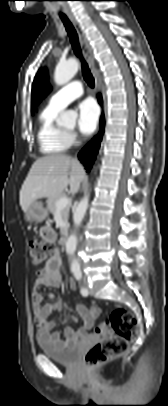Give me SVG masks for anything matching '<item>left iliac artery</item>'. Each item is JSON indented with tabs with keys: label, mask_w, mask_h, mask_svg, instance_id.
Returning <instances> with one entry per match:
<instances>
[{
	"label": "left iliac artery",
	"mask_w": 168,
	"mask_h": 406,
	"mask_svg": "<svg viewBox=\"0 0 168 406\" xmlns=\"http://www.w3.org/2000/svg\"><path fill=\"white\" fill-rule=\"evenodd\" d=\"M74 276H75L76 280H78V281L81 280V278H82V273H81L80 269L74 271ZM80 292H81V294H82L83 296H87V295H88V290H87L86 288H84V287L81 288Z\"/></svg>",
	"instance_id": "obj_1"
}]
</instances>
